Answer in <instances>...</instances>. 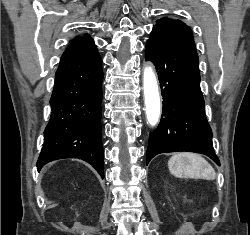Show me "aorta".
<instances>
[{
  "mask_svg": "<svg viewBox=\"0 0 250 235\" xmlns=\"http://www.w3.org/2000/svg\"><path fill=\"white\" fill-rule=\"evenodd\" d=\"M143 89L147 121L154 126L159 120L161 106L157 79L151 67H146L144 70Z\"/></svg>",
  "mask_w": 250,
  "mask_h": 235,
  "instance_id": "762f6f07",
  "label": "aorta"
}]
</instances>
